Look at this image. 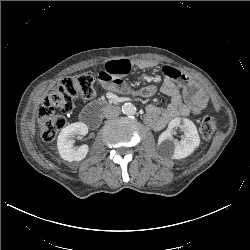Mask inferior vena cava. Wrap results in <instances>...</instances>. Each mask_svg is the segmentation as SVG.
I'll use <instances>...</instances> for the list:
<instances>
[{
	"instance_id": "obj_1",
	"label": "inferior vena cava",
	"mask_w": 250,
	"mask_h": 250,
	"mask_svg": "<svg viewBox=\"0 0 250 250\" xmlns=\"http://www.w3.org/2000/svg\"><path fill=\"white\" fill-rule=\"evenodd\" d=\"M119 114L120 109L118 107H110L105 111L104 116L106 118H114L117 117Z\"/></svg>"
}]
</instances>
